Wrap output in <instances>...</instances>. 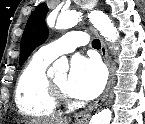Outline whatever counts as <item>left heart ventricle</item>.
Wrapping results in <instances>:
<instances>
[{"mask_svg":"<svg viewBox=\"0 0 145 124\" xmlns=\"http://www.w3.org/2000/svg\"><path fill=\"white\" fill-rule=\"evenodd\" d=\"M55 84L62 89L63 91L67 92V80L68 75L66 72L58 73L51 78Z\"/></svg>","mask_w":145,"mask_h":124,"instance_id":"obj_1","label":"left heart ventricle"}]
</instances>
